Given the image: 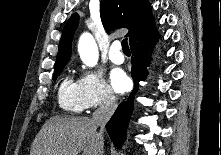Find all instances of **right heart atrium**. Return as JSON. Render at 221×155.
I'll return each mask as SVG.
<instances>
[{
    "mask_svg": "<svg viewBox=\"0 0 221 155\" xmlns=\"http://www.w3.org/2000/svg\"><path fill=\"white\" fill-rule=\"evenodd\" d=\"M78 82L85 109L108 107L115 104L116 97L100 72L84 71Z\"/></svg>",
    "mask_w": 221,
    "mask_h": 155,
    "instance_id": "d8ad5b80",
    "label": "right heart atrium"
}]
</instances>
